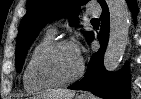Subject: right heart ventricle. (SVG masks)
<instances>
[{
	"label": "right heart ventricle",
	"mask_w": 141,
	"mask_h": 99,
	"mask_svg": "<svg viewBox=\"0 0 141 99\" xmlns=\"http://www.w3.org/2000/svg\"><path fill=\"white\" fill-rule=\"evenodd\" d=\"M53 37L49 34H47L33 49L30 58L27 62V65L24 69L23 77H22V82H23V87L27 92L30 93H36V92H41L44 91L45 89L49 88L44 85H40L36 83L31 75V67L32 63L37 56V54L48 44L52 42Z\"/></svg>",
	"instance_id": "right-heart-ventricle-1"
}]
</instances>
